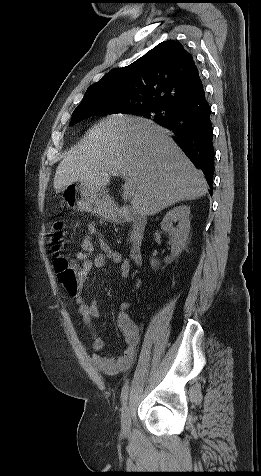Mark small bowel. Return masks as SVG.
I'll return each mask as SVG.
<instances>
[{"mask_svg": "<svg viewBox=\"0 0 261 476\" xmlns=\"http://www.w3.org/2000/svg\"><path fill=\"white\" fill-rule=\"evenodd\" d=\"M95 245L100 248V252L93 256ZM76 260L81 262V265L77 267L79 285L75 292L68 293L75 299L82 320L92 333V348L94 350L92 354L93 365L99 371L108 375L126 372L132 367L135 361L137 347L141 341V329L127 313L131 307L130 301L124 300L119 304L117 315V324L123 333L127 347L122 355L107 357L103 354L106 344L104 340L96 334L92 323L94 319L100 317V309L96 300H86L83 295V288L93 268H104L107 261H111L119 265L120 276L122 278H128L131 274V264L107 244L93 223L88 224V234L81 240V250L77 252Z\"/></svg>", "mask_w": 261, "mask_h": 476, "instance_id": "c3829d8e", "label": "small bowel"}]
</instances>
